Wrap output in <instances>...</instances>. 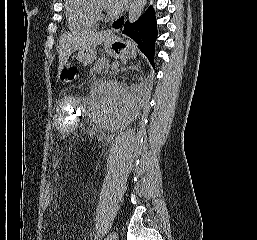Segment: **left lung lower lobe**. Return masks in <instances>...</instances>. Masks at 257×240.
<instances>
[{
	"mask_svg": "<svg viewBox=\"0 0 257 240\" xmlns=\"http://www.w3.org/2000/svg\"><path fill=\"white\" fill-rule=\"evenodd\" d=\"M124 17L119 18L113 23L114 28H121L122 32L132 38L140 47L154 67V45L157 39V27L154 10L149 7L147 12L137 21L130 23L126 21L123 25Z\"/></svg>",
	"mask_w": 257,
	"mask_h": 240,
	"instance_id": "left-lung-lower-lobe-1",
	"label": "left lung lower lobe"
}]
</instances>
